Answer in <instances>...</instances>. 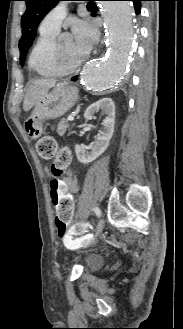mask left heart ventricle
Instances as JSON below:
<instances>
[{
	"instance_id": "obj_1",
	"label": "left heart ventricle",
	"mask_w": 183,
	"mask_h": 329,
	"mask_svg": "<svg viewBox=\"0 0 183 329\" xmlns=\"http://www.w3.org/2000/svg\"><path fill=\"white\" fill-rule=\"evenodd\" d=\"M60 46L64 55V66H69L81 61L86 53L79 51L72 39H67L60 42Z\"/></svg>"
}]
</instances>
